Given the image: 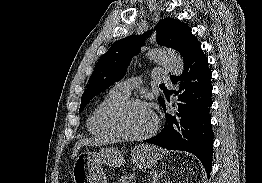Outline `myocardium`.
<instances>
[{
	"label": "myocardium",
	"instance_id": "obj_1",
	"mask_svg": "<svg viewBox=\"0 0 262 183\" xmlns=\"http://www.w3.org/2000/svg\"><path fill=\"white\" fill-rule=\"evenodd\" d=\"M145 104L140 99L137 98H127L120 104H118L110 113L108 121L111 129L115 134L123 139L132 141H142L152 137L159 129L160 120L157 115H155V123L150 131L142 135H134L128 133L123 126V116L125 112L133 105Z\"/></svg>",
	"mask_w": 262,
	"mask_h": 183
}]
</instances>
